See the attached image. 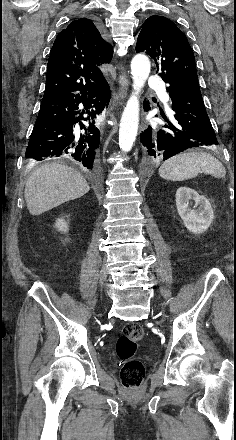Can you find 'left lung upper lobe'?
<instances>
[{"label":"left lung upper lobe","mask_w":236,"mask_h":440,"mask_svg":"<svg viewBox=\"0 0 236 440\" xmlns=\"http://www.w3.org/2000/svg\"><path fill=\"white\" fill-rule=\"evenodd\" d=\"M136 52L147 53L157 72L169 86L167 91L183 82H198L195 58L185 34L168 18L151 16L142 25Z\"/></svg>","instance_id":"5c2ea615"}]
</instances>
